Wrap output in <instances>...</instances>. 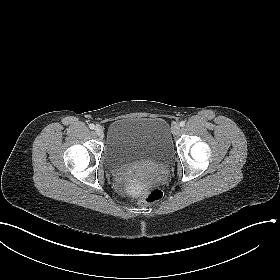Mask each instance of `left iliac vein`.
Returning a JSON list of instances; mask_svg holds the SVG:
<instances>
[{
	"mask_svg": "<svg viewBox=\"0 0 280 280\" xmlns=\"http://www.w3.org/2000/svg\"><path fill=\"white\" fill-rule=\"evenodd\" d=\"M171 131L174 135H177L180 131V125L179 124H174L171 128Z\"/></svg>",
	"mask_w": 280,
	"mask_h": 280,
	"instance_id": "1",
	"label": "left iliac vein"
}]
</instances>
